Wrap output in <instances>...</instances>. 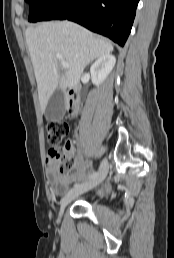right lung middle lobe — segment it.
<instances>
[{"label": "right lung middle lobe", "mask_w": 174, "mask_h": 258, "mask_svg": "<svg viewBox=\"0 0 174 258\" xmlns=\"http://www.w3.org/2000/svg\"><path fill=\"white\" fill-rule=\"evenodd\" d=\"M30 4L29 22L41 21L53 0H25Z\"/></svg>", "instance_id": "obj_1"}]
</instances>
